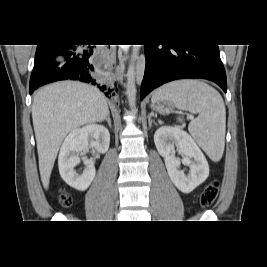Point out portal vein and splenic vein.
Instances as JSON below:
<instances>
[{
  "label": "portal vein and splenic vein",
  "mask_w": 267,
  "mask_h": 267,
  "mask_svg": "<svg viewBox=\"0 0 267 267\" xmlns=\"http://www.w3.org/2000/svg\"><path fill=\"white\" fill-rule=\"evenodd\" d=\"M190 118L193 119L194 117L192 115H190Z\"/></svg>",
  "instance_id": "obj_1"
}]
</instances>
